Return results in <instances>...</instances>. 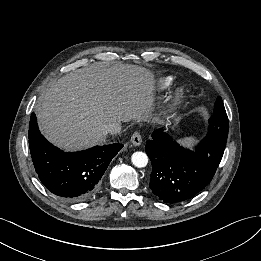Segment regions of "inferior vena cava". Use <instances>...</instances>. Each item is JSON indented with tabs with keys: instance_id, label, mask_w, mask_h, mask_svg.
<instances>
[{
	"instance_id": "602c4592",
	"label": "inferior vena cava",
	"mask_w": 261,
	"mask_h": 261,
	"mask_svg": "<svg viewBox=\"0 0 261 261\" xmlns=\"http://www.w3.org/2000/svg\"><path fill=\"white\" fill-rule=\"evenodd\" d=\"M121 131V125L118 123L108 124L103 128V134H117Z\"/></svg>"
}]
</instances>
